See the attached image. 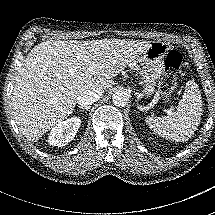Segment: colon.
I'll use <instances>...</instances> for the list:
<instances>
[{
	"mask_svg": "<svg viewBox=\"0 0 215 215\" xmlns=\"http://www.w3.org/2000/svg\"><path fill=\"white\" fill-rule=\"evenodd\" d=\"M182 63V55L178 51H169L165 60L164 68L168 73L159 84V93L166 101H171L173 97V91L176 85V79L173 75L180 69Z\"/></svg>",
	"mask_w": 215,
	"mask_h": 215,
	"instance_id": "5ec220e1",
	"label": "colon"
}]
</instances>
